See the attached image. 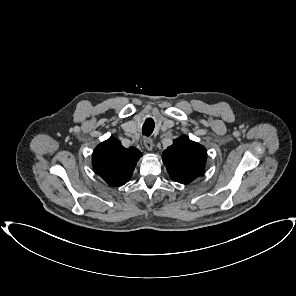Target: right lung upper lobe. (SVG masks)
I'll return each instance as SVG.
<instances>
[{
  "label": "right lung upper lobe",
  "mask_w": 296,
  "mask_h": 296,
  "mask_svg": "<svg viewBox=\"0 0 296 296\" xmlns=\"http://www.w3.org/2000/svg\"><path fill=\"white\" fill-rule=\"evenodd\" d=\"M142 153L134 148H125L115 138H109L93 151L92 164L95 172L109 185L121 186L128 182Z\"/></svg>",
  "instance_id": "obj_1"
}]
</instances>
